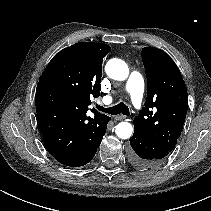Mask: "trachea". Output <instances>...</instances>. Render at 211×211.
Segmentation results:
<instances>
[{
	"label": "trachea",
	"mask_w": 211,
	"mask_h": 211,
	"mask_svg": "<svg viewBox=\"0 0 211 211\" xmlns=\"http://www.w3.org/2000/svg\"><path fill=\"white\" fill-rule=\"evenodd\" d=\"M96 107L99 111L107 113V114H111V115H117L120 113L127 116L130 115L128 106L124 104L123 102L119 103L116 106L108 107V108L102 107L100 105H97Z\"/></svg>",
	"instance_id": "trachea-1"
}]
</instances>
